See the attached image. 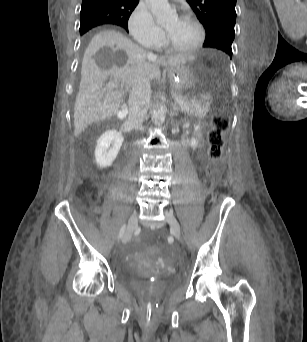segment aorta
Instances as JSON below:
<instances>
[{"instance_id": "762f6f07", "label": "aorta", "mask_w": 307, "mask_h": 342, "mask_svg": "<svg viewBox=\"0 0 307 342\" xmlns=\"http://www.w3.org/2000/svg\"><path fill=\"white\" fill-rule=\"evenodd\" d=\"M150 10L160 26H169L172 22H177V10L171 8L168 0H147ZM167 106L164 102H156V108L153 110L152 122L154 124H163L165 122Z\"/></svg>"}]
</instances>
